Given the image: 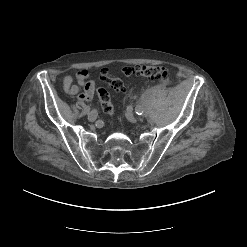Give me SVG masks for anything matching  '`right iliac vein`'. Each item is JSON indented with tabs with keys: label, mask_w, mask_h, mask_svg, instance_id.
Returning <instances> with one entry per match:
<instances>
[{
	"label": "right iliac vein",
	"mask_w": 247,
	"mask_h": 247,
	"mask_svg": "<svg viewBox=\"0 0 247 247\" xmlns=\"http://www.w3.org/2000/svg\"><path fill=\"white\" fill-rule=\"evenodd\" d=\"M98 115V109L97 108H92L91 112L88 113V120L90 122L95 121V119L97 118Z\"/></svg>",
	"instance_id": "63e3f726"
}]
</instances>
